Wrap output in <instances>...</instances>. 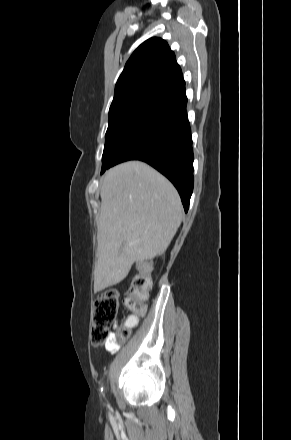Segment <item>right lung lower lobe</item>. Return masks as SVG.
Returning <instances> with one entry per match:
<instances>
[{
  "instance_id": "98d812e1",
  "label": "right lung lower lobe",
  "mask_w": 291,
  "mask_h": 440,
  "mask_svg": "<svg viewBox=\"0 0 291 440\" xmlns=\"http://www.w3.org/2000/svg\"><path fill=\"white\" fill-rule=\"evenodd\" d=\"M185 81L156 97L112 157L109 167L141 160L165 175L178 190L184 209L193 191V150L188 122Z\"/></svg>"
}]
</instances>
